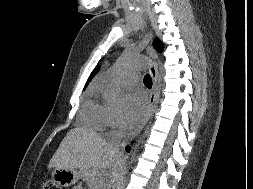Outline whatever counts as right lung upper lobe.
<instances>
[{
	"instance_id": "cb5924a9",
	"label": "right lung upper lobe",
	"mask_w": 253,
	"mask_h": 189,
	"mask_svg": "<svg viewBox=\"0 0 253 189\" xmlns=\"http://www.w3.org/2000/svg\"><path fill=\"white\" fill-rule=\"evenodd\" d=\"M98 70H99V67L97 68V69H95L92 73H91V75H90V77H89V79H88V82L94 77V75L98 72ZM88 85V83L86 84V86ZM85 86V87H86Z\"/></svg>"
}]
</instances>
